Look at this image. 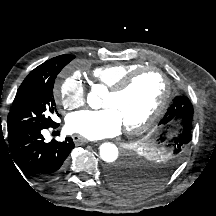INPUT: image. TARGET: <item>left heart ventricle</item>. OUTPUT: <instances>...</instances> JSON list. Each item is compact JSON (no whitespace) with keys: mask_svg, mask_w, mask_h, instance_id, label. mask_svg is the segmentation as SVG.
I'll return each instance as SVG.
<instances>
[{"mask_svg":"<svg viewBox=\"0 0 216 216\" xmlns=\"http://www.w3.org/2000/svg\"><path fill=\"white\" fill-rule=\"evenodd\" d=\"M164 85L155 72L140 75L121 95L107 94L102 106L113 109L122 125L133 126L144 120L158 105Z\"/></svg>","mask_w":216,"mask_h":216,"instance_id":"b2bd125f","label":"left heart ventricle"}]
</instances>
